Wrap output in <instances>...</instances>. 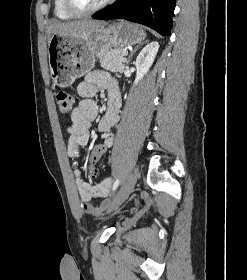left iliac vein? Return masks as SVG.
Wrapping results in <instances>:
<instances>
[{
  "mask_svg": "<svg viewBox=\"0 0 247 280\" xmlns=\"http://www.w3.org/2000/svg\"><path fill=\"white\" fill-rule=\"evenodd\" d=\"M136 181H137V176L135 173H132L127 176L119 192L113 199L108 212H112L116 210L128 198V196L130 195V193L132 192L136 184Z\"/></svg>",
  "mask_w": 247,
  "mask_h": 280,
  "instance_id": "left-iliac-vein-1",
  "label": "left iliac vein"
}]
</instances>
